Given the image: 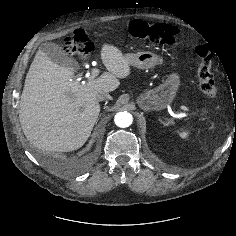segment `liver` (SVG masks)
I'll return each instance as SVG.
<instances>
[{"label": "liver", "instance_id": "1", "mask_svg": "<svg viewBox=\"0 0 236 236\" xmlns=\"http://www.w3.org/2000/svg\"><path fill=\"white\" fill-rule=\"evenodd\" d=\"M101 60L108 72L78 82L71 69L58 65L38 50L19 104L22 130L34 146L69 152L84 145L99 116L97 94L114 91L119 79L131 74L130 59L114 45L103 44Z\"/></svg>", "mask_w": 236, "mask_h": 236}]
</instances>
